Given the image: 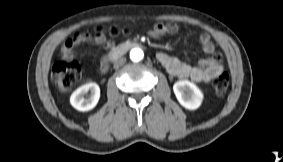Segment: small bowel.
<instances>
[{
  "label": "small bowel",
  "mask_w": 283,
  "mask_h": 162,
  "mask_svg": "<svg viewBox=\"0 0 283 162\" xmlns=\"http://www.w3.org/2000/svg\"><path fill=\"white\" fill-rule=\"evenodd\" d=\"M178 26L174 23H158L150 31L149 34L153 37H160L165 34H174L178 31ZM199 41L202 49L211 57L200 59L198 65L192 66L187 64L177 57L168 55L165 52H159L157 59L165 67L169 74L178 78H190L195 82L209 83L223 71L220 63V55H214L215 46L208 34H201ZM90 43L94 45H105L109 52H114L117 49V44L114 41H108L104 34L92 36L88 32L75 33L70 36L62 46V57L65 61L74 60L73 49L80 44ZM110 56H102L99 58V67L96 68V75L104 76L109 72L111 62Z\"/></svg>",
  "instance_id": "1"
}]
</instances>
